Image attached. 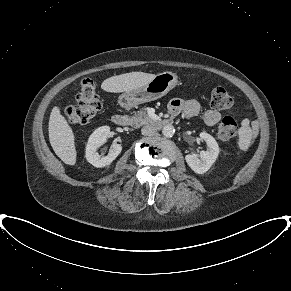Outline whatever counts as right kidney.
Returning <instances> with one entry per match:
<instances>
[{"mask_svg": "<svg viewBox=\"0 0 291 291\" xmlns=\"http://www.w3.org/2000/svg\"><path fill=\"white\" fill-rule=\"evenodd\" d=\"M109 133V126H102L96 129L88 139L85 157L90 164L97 168L110 165L122 150L120 144H113L108 155L102 156L97 152V148L106 142Z\"/></svg>", "mask_w": 291, "mask_h": 291, "instance_id": "obj_1", "label": "right kidney"}]
</instances>
